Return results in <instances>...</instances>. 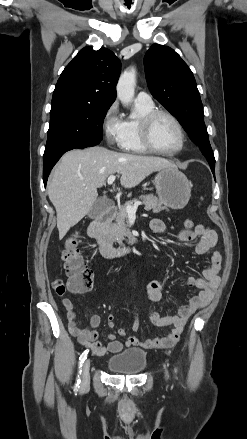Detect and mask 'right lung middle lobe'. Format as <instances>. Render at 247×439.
Listing matches in <instances>:
<instances>
[{"instance_id": "dd1d6c3e", "label": "right lung middle lobe", "mask_w": 247, "mask_h": 439, "mask_svg": "<svg viewBox=\"0 0 247 439\" xmlns=\"http://www.w3.org/2000/svg\"><path fill=\"white\" fill-rule=\"evenodd\" d=\"M109 107L85 104L51 106L43 163L69 150L99 144L103 120Z\"/></svg>"}]
</instances>
